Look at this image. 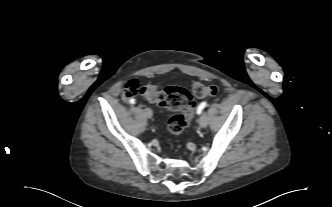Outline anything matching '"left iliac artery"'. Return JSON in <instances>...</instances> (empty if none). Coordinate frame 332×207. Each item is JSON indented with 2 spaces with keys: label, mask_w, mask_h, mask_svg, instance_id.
<instances>
[{
  "label": "left iliac artery",
  "mask_w": 332,
  "mask_h": 207,
  "mask_svg": "<svg viewBox=\"0 0 332 207\" xmlns=\"http://www.w3.org/2000/svg\"><path fill=\"white\" fill-rule=\"evenodd\" d=\"M207 102H202L197 108V114H201L203 109L206 107Z\"/></svg>",
  "instance_id": "44dca946"
}]
</instances>
